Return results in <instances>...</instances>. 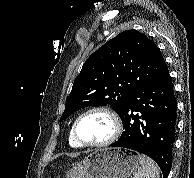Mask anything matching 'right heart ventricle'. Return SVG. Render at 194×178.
<instances>
[{"label":"right heart ventricle","instance_id":"right-heart-ventricle-1","mask_svg":"<svg viewBox=\"0 0 194 178\" xmlns=\"http://www.w3.org/2000/svg\"><path fill=\"white\" fill-rule=\"evenodd\" d=\"M68 143L74 149L81 148V146L73 139L71 131H70L69 136H68Z\"/></svg>","mask_w":194,"mask_h":178}]
</instances>
